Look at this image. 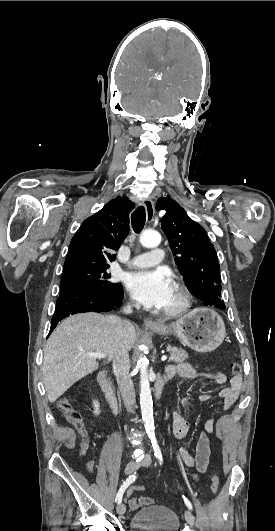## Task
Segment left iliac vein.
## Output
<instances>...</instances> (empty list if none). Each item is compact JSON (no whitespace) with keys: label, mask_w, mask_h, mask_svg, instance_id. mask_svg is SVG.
<instances>
[{"label":"left iliac vein","mask_w":275,"mask_h":531,"mask_svg":"<svg viewBox=\"0 0 275 531\" xmlns=\"http://www.w3.org/2000/svg\"><path fill=\"white\" fill-rule=\"evenodd\" d=\"M151 457L149 454H146L143 461H142V465L144 467H149L150 464H151ZM185 520L186 522L188 523L189 526L191 527H194L195 526V520H194V516L193 514L191 513L190 510H186L185 511Z\"/></svg>","instance_id":"left-iliac-vein-1"}]
</instances>
